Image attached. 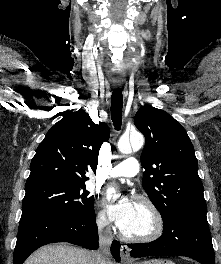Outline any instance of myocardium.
<instances>
[{
	"instance_id": "1",
	"label": "myocardium",
	"mask_w": 221,
	"mask_h": 264,
	"mask_svg": "<svg viewBox=\"0 0 221 264\" xmlns=\"http://www.w3.org/2000/svg\"><path fill=\"white\" fill-rule=\"evenodd\" d=\"M138 204L144 206L150 213L153 220L152 230L144 235H129L123 230L120 231L121 237L128 242L148 243L157 240L164 231V219L158 207L147 198H140Z\"/></svg>"
}]
</instances>
